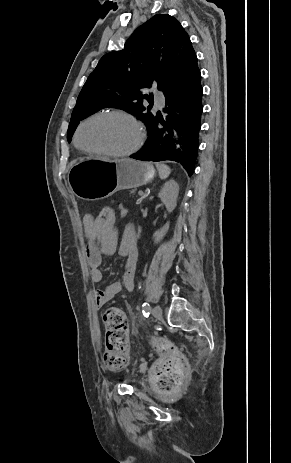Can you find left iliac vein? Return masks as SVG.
Segmentation results:
<instances>
[{"label":"left iliac vein","instance_id":"1","mask_svg":"<svg viewBox=\"0 0 291 463\" xmlns=\"http://www.w3.org/2000/svg\"><path fill=\"white\" fill-rule=\"evenodd\" d=\"M152 314L158 320L162 318V310L159 305L153 307Z\"/></svg>","mask_w":291,"mask_h":463}]
</instances>
